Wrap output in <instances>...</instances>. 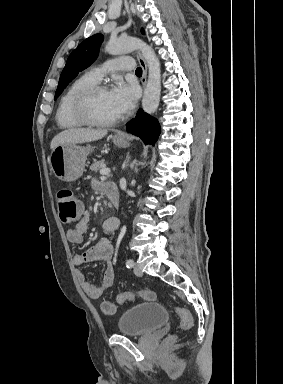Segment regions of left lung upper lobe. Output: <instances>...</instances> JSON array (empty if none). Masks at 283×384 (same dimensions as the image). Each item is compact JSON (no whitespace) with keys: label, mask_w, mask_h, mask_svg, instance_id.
Listing matches in <instances>:
<instances>
[{"label":"left lung upper lobe","mask_w":283,"mask_h":384,"mask_svg":"<svg viewBox=\"0 0 283 384\" xmlns=\"http://www.w3.org/2000/svg\"><path fill=\"white\" fill-rule=\"evenodd\" d=\"M102 34H95L83 42L69 55L66 65L60 75L59 84L55 93V99L63 92L80 71L87 68L97 57Z\"/></svg>","instance_id":"left-lung-upper-lobe-1"}]
</instances>
